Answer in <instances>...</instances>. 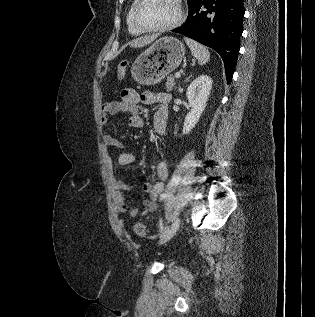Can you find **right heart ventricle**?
Instances as JSON below:
<instances>
[{
	"label": "right heart ventricle",
	"instance_id": "right-heart-ventricle-1",
	"mask_svg": "<svg viewBox=\"0 0 315 317\" xmlns=\"http://www.w3.org/2000/svg\"><path fill=\"white\" fill-rule=\"evenodd\" d=\"M134 3H135V1H133V3L131 4L130 9H129L128 13H127L126 22H127L128 30H129V32H130L131 34H133V35H140L142 32L138 31V30L134 27V25H133V23H132V18H131V17H132V9H133Z\"/></svg>",
	"mask_w": 315,
	"mask_h": 317
}]
</instances>
